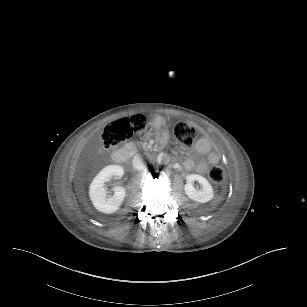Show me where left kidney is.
I'll return each instance as SVG.
<instances>
[{
	"mask_svg": "<svg viewBox=\"0 0 307 307\" xmlns=\"http://www.w3.org/2000/svg\"><path fill=\"white\" fill-rule=\"evenodd\" d=\"M194 181H197L201 185L200 189H196L194 187ZM184 191L190 199L199 203H206L214 196V191L211 184L205 177L198 174H190L186 177Z\"/></svg>",
	"mask_w": 307,
	"mask_h": 307,
	"instance_id": "5707ae66",
	"label": "left kidney"
}]
</instances>
